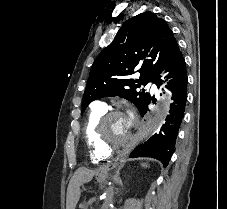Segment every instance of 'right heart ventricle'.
<instances>
[{
    "instance_id": "1",
    "label": "right heart ventricle",
    "mask_w": 227,
    "mask_h": 209,
    "mask_svg": "<svg viewBox=\"0 0 227 209\" xmlns=\"http://www.w3.org/2000/svg\"><path fill=\"white\" fill-rule=\"evenodd\" d=\"M105 111L106 109L104 107H94L88 114L82 128V135L88 147L89 158L94 164H103L112 157V154L105 153L101 150L94 136L96 122Z\"/></svg>"
}]
</instances>
